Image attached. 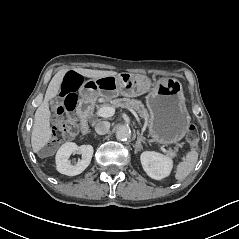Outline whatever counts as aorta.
<instances>
[{"instance_id":"762f6f07","label":"aorta","mask_w":239,"mask_h":239,"mask_svg":"<svg viewBox=\"0 0 239 239\" xmlns=\"http://www.w3.org/2000/svg\"><path fill=\"white\" fill-rule=\"evenodd\" d=\"M131 138L129 127L122 126L116 130V139L119 141H128Z\"/></svg>"}]
</instances>
